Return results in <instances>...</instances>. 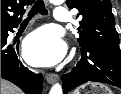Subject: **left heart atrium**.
I'll return each instance as SVG.
<instances>
[{"instance_id": "left-heart-atrium-1", "label": "left heart atrium", "mask_w": 121, "mask_h": 94, "mask_svg": "<svg viewBox=\"0 0 121 94\" xmlns=\"http://www.w3.org/2000/svg\"><path fill=\"white\" fill-rule=\"evenodd\" d=\"M66 45L57 30L51 26L41 27L32 32L25 40L23 55L35 66H51L62 60Z\"/></svg>"}]
</instances>
